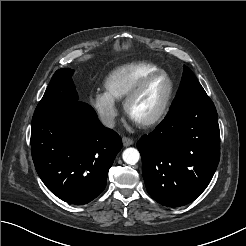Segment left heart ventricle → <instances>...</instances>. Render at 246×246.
Masks as SVG:
<instances>
[{"instance_id": "obj_1", "label": "left heart ventricle", "mask_w": 246, "mask_h": 246, "mask_svg": "<svg viewBox=\"0 0 246 246\" xmlns=\"http://www.w3.org/2000/svg\"><path fill=\"white\" fill-rule=\"evenodd\" d=\"M169 81L160 76L153 79L137 97L131 106V116L137 121L152 118L162 107L168 92Z\"/></svg>"}]
</instances>
